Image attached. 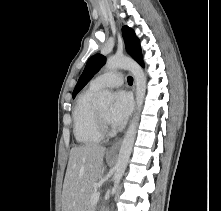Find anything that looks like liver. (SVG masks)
<instances>
[{
  "instance_id": "1",
  "label": "liver",
  "mask_w": 221,
  "mask_h": 211,
  "mask_svg": "<svg viewBox=\"0 0 221 211\" xmlns=\"http://www.w3.org/2000/svg\"><path fill=\"white\" fill-rule=\"evenodd\" d=\"M106 148L100 145L71 149L62 191V211H83L84 202L99 179Z\"/></svg>"
}]
</instances>
